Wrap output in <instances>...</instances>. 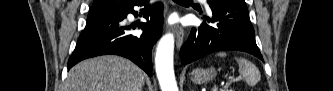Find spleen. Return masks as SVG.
<instances>
[{
    "mask_svg": "<svg viewBox=\"0 0 333 91\" xmlns=\"http://www.w3.org/2000/svg\"><path fill=\"white\" fill-rule=\"evenodd\" d=\"M217 56L225 57L226 53L219 52L217 53ZM235 60L239 66V74L244 78L245 82L250 86L256 85L261 79V74L258 68L245 58H235Z\"/></svg>",
    "mask_w": 333,
    "mask_h": 91,
    "instance_id": "1",
    "label": "spleen"
}]
</instances>
